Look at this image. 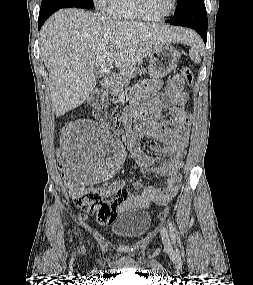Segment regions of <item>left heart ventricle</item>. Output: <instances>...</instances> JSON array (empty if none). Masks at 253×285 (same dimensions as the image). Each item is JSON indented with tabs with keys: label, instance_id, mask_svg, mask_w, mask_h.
Instances as JSON below:
<instances>
[{
	"label": "left heart ventricle",
	"instance_id": "obj_1",
	"mask_svg": "<svg viewBox=\"0 0 253 285\" xmlns=\"http://www.w3.org/2000/svg\"><path fill=\"white\" fill-rule=\"evenodd\" d=\"M145 12L150 16H161L170 11L173 0H142Z\"/></svg>",
	"mask_w": 253,
	"mask_h": 285
}]
</instances>
